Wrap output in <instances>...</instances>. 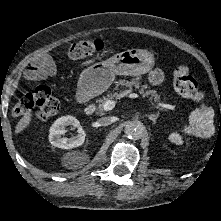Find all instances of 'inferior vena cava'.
<instances>
[{
	"mask_svg": "<svg viewBox=\"0 0 221 221\" xmlns=\"http://www.w3.org/2000/svg\"><path fill=\"white\" fill-rule=\"evenodd\" d=\"M99 124L102 126H107L110 125L113 121L112 118L107 116V117H102L98 120Z\"/></svg>",
	"mask_w": 221,
	"mask_h": 221,
	"instance_id": "1",
	"label": "inferior vena cava"
}]
</instances>
